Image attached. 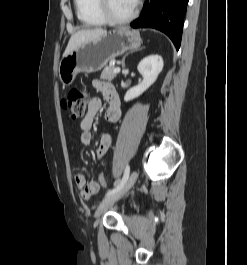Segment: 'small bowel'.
<instances>
[{
  "mask_svg": "<svg viewBox=\"0 0 247 265\" xmlns=\"http://www.w3.org/2000/svg\"><path fill=\"white\" fill-rule=\"evenodd\" d=\"M93 86L101 91L108 103L105 118L107 121L116 123L120 120V100L115 88L102 80L96 79L93 81ZM101 100L98 97H94L90 100L86 115L80 122V128L82 130L80 134V143L84 146L89 145L92 139L91 128L94 122V118L97 112L101 108ZM112 144V137L108 133L101 135L99 145L96 151L97 158H103ZM76 187L80 190V195L83 199H91L100 189L98 182L91 181L86 182L85 177L82 174H76L74 177Z\"/></svg>",
  "mask_w": 247,
  "mask_h": 265,
  "instance_id": "obj_1",
  "label": "small bowel"
}]
</instances>
